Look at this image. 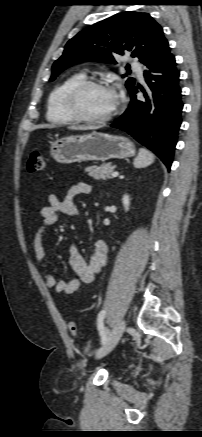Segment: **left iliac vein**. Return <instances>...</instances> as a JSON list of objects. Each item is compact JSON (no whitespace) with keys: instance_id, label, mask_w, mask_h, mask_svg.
Instances as JSON below:
<instances>
[{"instance_id":"4c4485c4","label":"left iliac vein","mask_w":202,"mask_h":437,"mask_svg":"<svg viewBox=\"0 0 202 437\" xmlns=\"http://www.w3.org/2000/svg\"><path fill=\"white\" fill-rule=\"evenodd\" d=\"M126 328L125 321H120L114 329L109 333L108 338L106 342L103 344V346L97 351L96 358H102L106 356L108 353H110L114 347L119 342L120 338L122 337L124 331Z\"/></svg>"}]
</instances>
